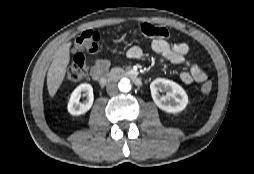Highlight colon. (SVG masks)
Returning a JSON list of instances; mask_svg holds the SVG:
<instances>
[{
  "instance_id": "colon-1",
  "label": "colon",
  "mask_w": 254,
  "mask_h": 174,
  "mask_svg": "<svg viewBox=\"0 0 254 174\" xmlns=\"http://www.w3.org/2000/svg\"><path fill=\"white\" fill-rule=\"evenodd\" d=\"M141 33L143 36L149 38H158L163 40L170 38V32L167 28L148 23L141 26ZM99 42L100 37L94 31H86L75 40L72 47L73 61L66 72L67 81L77 82L87 77L89 66L86 55L95 54L98 51ZM212 88V82L210 80H206L201 87V92L204 95H208L211 93Z\"/></svg>"
}]
</instances>
